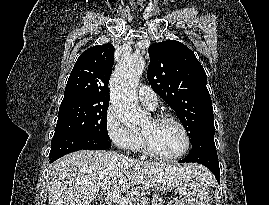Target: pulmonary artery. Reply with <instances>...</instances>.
Instances as JSON below:
<instances>
[{"label":"pulmonary artery","mask_w":269,"mask_h":205,"mask_svg":"<svg viewBox=\"0 0 269 205\" xmlns=\"http://www.w3.org/2000/svg\"><path fill=\"white\" fill-rule=\"evenodd\" d=\"M139 99L143 105L150 109H155L157 106V95L148 86H141L138 91Z\"/></svg>","instance_id":"obj_1"}]
</instances>
